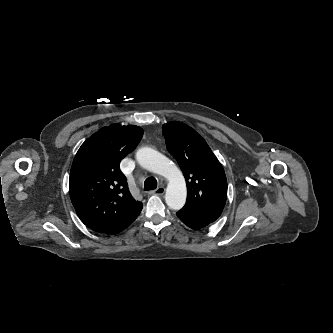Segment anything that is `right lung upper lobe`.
<instances>
[{
  "mask_svg": "<svg viewBox=\"0 0 333 333\" xmlns=\"http://www.w3.org/2000/svg\"><path fill=\"white\" fill-rule=\"evenodd\" d=\"M142 136L138 126L112 124L94 133L75 155L69 194L78 217L93 231L118 234L140 214L142 203L130 194L119 164Z\"/></svg>",
  "mask_w": 333,
  "mask_h": 333,
  "instance_id": "right-lung-upper-lobe-1",
  "label": "right lung upper lobe"
}]
</instances>
